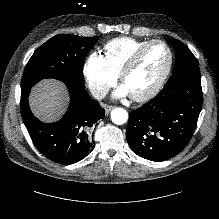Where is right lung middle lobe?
<instances>
[{
	"instance_id": "right-lung-middle-lobe-1",
	"label": "right lung middle lobe",
	"mask_w": 219,
	"mask_h": 219,
	"mask_svg": "<svg viewBox=\"0 0 219 219\" xmlns=\"http://www.w3.org/2000/svg\"><path fill=\"white\" fill-rule=\"evenodd\" d=\"M98 38L61 34L49 39L28 61L21 82V93L29 92L32 86L45 78L84 86V60Z\"/></svg>"
}]
</instances>
